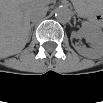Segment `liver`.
Wrapping results in <instances>:
<instances>
[{
  "mask_svg": "<svg viewBox=\"0 0 103 103\" xmlns=\"http://www.w3.org/2000/svg\"><path fill=\"white\" fill-rule=\"evenodd\" d=\"M44 1L5 0L1 2V56L19 53L29 41L31 11L45 9Z\"/></svg>",
  "mask_w": 103,
  "mask_h": 103,
  "instance_id": "1",
  "label": "liver"
}]
</instances>
